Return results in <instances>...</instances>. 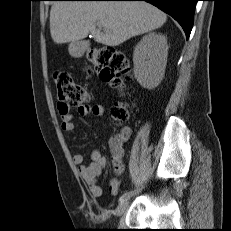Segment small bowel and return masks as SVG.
Masks as SVG:
<instances>
[{
  "instance_id": "small-bowel-1",
  "label": "small bowel",
  "mask_w": 231,
  "mask_h": 231,
  "mask_svg": "<svg viewBox=\"0 0 231 231\" xmlns=\"http://www.w3.org/2000/svg\"><path fill=\"white\" fill-rule=\"evenodd\" d=\"M79 114L82 116H102L104 114L103 106L99 104L82 105L79 107ZM60 127L64 132H72L74 130L73 115L70 112L61 114ZM131 129L126 127L121 133L110 139L111 161L116 175L123 172V142L130 136ZM73 163L78 167L80 176L86 182L91 195L95 198L102 195V187L97 182L99 176L102 175L105 166L106 158L98 149H93L90 153V163L83 164V156L81 154H74L72 157ZM120 188L119 178L113 177L109 180L108 189L112 195H117Z\"/></svg>"
}]
</instances>
